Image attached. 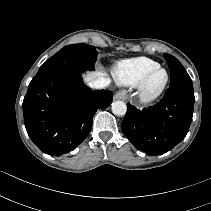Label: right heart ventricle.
<instances>
[{
  "mask_svg": "<svg viewBox=\"0 0 211 211\" xmlns=\"http://www.w3.org/2000/svg\"><path fill=\"white\" fill-rule=\"evenodd\" d=\"M159 66L158 62L150 58L138 57L119 62L113 74L120 85L135 87L151 70Z\"/></svg>",
  "mask_w": 211,
  "mask_h": 211,
  "instance_id": "e07e8e85",
  "label": "right heart ventricle"
}]
</instances>
